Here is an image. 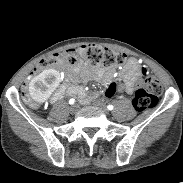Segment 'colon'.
I'll list each match as a JSON object with an SVG mask.
<instances>
[{
  "instance_id": "1",
  "label": "colon",
  "mask_w": 183,
  "mask_h": 183,
  "mask_svg": "<svg viewBox=\"0 0 183 183\" xmlns=\"http://www.w3.org/2000/svg\"><path fill=\"white\" fill-rule=\"evenodd\" d=\"M79 58L92 64H102L105 66H120L127 61V57L123 53L115 52L95 44H86L77 49H68L41 59L34 69V72L44 71L60 64L73 65ZM140 71L145 75L144 86L136 91L133 98V106L137 111H144L157 104L158 97L162 92V87L154 76L146 75L145 70L142 68ZM117 91L118 84L112 81L107 86L106 96L111 97L115 95Z\"/></svg>"
}]
</instances>
